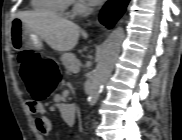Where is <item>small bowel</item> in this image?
Instances as JSON below:
<instances>
[{"mask_svg":"<svg viewBox=\"0 0 182 140\" xmlns=\"http://www.w3.org/2000/svg\"><path fill=\"white\" fill-rule=\"evenodd\" d=\"M27 109L31 114L37 115L35 119L37 130L44 136H50L52 132V123L49 117L45 115V106L41 102L29 100L27 101Z\"/></svg>","mask_w":182,"mask_h":140,"instance_id":"obj_1","label":"small bowel"}]
</instances>
